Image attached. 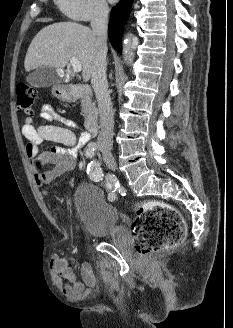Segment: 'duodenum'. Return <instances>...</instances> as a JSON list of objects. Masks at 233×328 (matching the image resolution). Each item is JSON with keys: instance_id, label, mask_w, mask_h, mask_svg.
<instances>
[{"instance_id": "obj_1", "label": "duodenum", "mask_w": 233, "mask_h": 328, "mask_svg": "<svg viewBox=\"0 0 233 328\" xmlns=\"http://www.w3.org/2000/svg\"><path fill=\"white\" fill-rule=\"evenodd\" d=\"M91 92L89 86L82 84H73L61 91V95L67 100H76L89 95ZM86 127L92 134L99 129V120L95 112H91L86 117Z\"/></svg>"}]
</instances>
